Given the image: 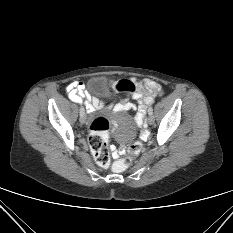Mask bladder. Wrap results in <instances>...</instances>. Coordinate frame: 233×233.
Returning a JSON list of instances; mask_svg holds the SVG:
<instances>
[{
    "instance_id": "obj_1",
    "label": "bladder",
    "mask_w": 233,
    "mask_h": 233,
    "mask_svg": "<svg viewBox=\"0 0 233 233\" xmlns=\"http://www.w3.org/2000/svg\"><path fill=\"white\" fill-rule=\"evenodd\" d=\"M88 89L91 93L98 96H109L112 94V88L106 77L97 76L89 80Z\"/></svg>"
}]
</instances>
